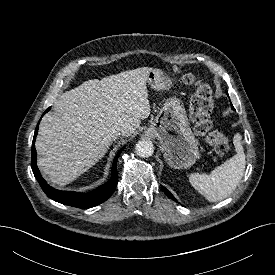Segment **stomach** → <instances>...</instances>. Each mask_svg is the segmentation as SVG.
<instances>
[{"label":"stomach","mask_w":275,"mask_h":275,"mask_svg":"<svg viewBox=\"0 0 275 275\" xmlns=\"http://www.w3.org/2000/svg\"><path fill=\"white\" fill-rule=\"evenodd\" d=\"M147 81L156 90L172 86V80L160 69H152ZM147 133L159 140L167 164L175 169H186L199 158L198 140L190 128L185 108L176 96L163 103Z\"/></svg>","instance_id":"1"}]
</instances>
